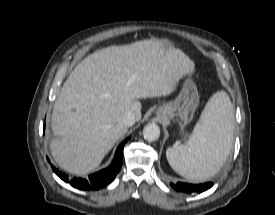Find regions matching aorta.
Masks as SVG:
<instances>
[{
    "label": "aorta",
    "mask_w": 275,
    "mask_h": 215,
    "mask_svg": "<svg viewBox=\"0 0 275 215\" xmlns=\"http://www.w3.org/2000/svg\"><path fill=\"white\" fill-rule=\"evenodd\" d=\"M144 139L152 142L159 138L160 136V128L155 123L147 124L143 129Z\"/></svg>",
    "instance_id": "762f6f07"
}]
</instances>
